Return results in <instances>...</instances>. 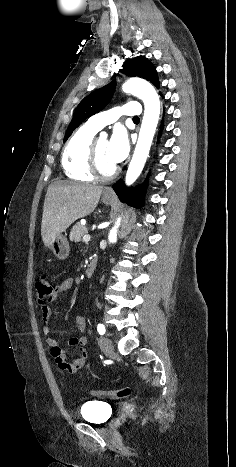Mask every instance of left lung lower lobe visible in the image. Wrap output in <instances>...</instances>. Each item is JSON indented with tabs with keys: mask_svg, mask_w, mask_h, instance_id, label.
Segmentation results:
<instances>
[{
	"mask_svg": "<svg viewBox=\"0 0 236 467\" xmlns=\"http://www.w3.org/2000/svg\"><path fill=\"white\" fill-rule=\"evenodd\" d=\"M162 127L163 126H161V128ZM113 189L122 202H126L136 208H139L143 205L146 183L138 188L130 189L124 186L122 180H119L116 184L113 185Z\"/></svg>",
	"mask_w": 236,
	"mask_h": 467,
	"instance_id": "left-lung-lower-lobe-1",
	"label": "left lung lower lobe"
}]
</instances>
